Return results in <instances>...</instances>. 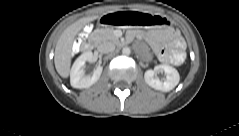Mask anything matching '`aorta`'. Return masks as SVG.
Segmentation results:
<instances>
[{
    "mask_svg": "<svg viewBox=\"0 0 239 136\" xmlns=\"http://www.w3.org/2000/svg\"><path fill=\"white\" fill-rule=\"evenodd\" d=\"M122 53H123L124 55H129V54L131 53V50H130L129 47H124V48L122 49Z\"/></svg>",
    "mask_w": 239,
    "mask_h": 136,
    "instance_id": "1",
    "label": "aorta"
}]
</instances>
